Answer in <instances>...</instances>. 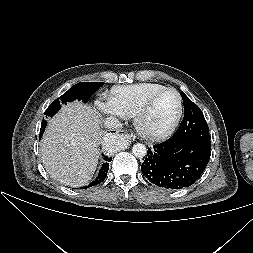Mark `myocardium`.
I'll list each match as a JSON object with an SVG mask.
<instances>
[{"label":"myocardium","mask_w":253,"mask_h":253,"mask_svg":"<svg viewBox=\"0 0 253 253\" xmlns=\"http://www.w3.org/2000/svg\"><path fill=\"white\" fill-rule=\"evenodd\" d=\"M165 92H173L176 95L177 113L173 121L165 129L159 132H148L142 126V119L144 115L147 113V111L149 110V108L151 107L152 103L155 101V99ZM182 112H183V104H182V97L180 93L175 88L165 87L159 91L152 93L147 98H145V100L142 102L141 106L138 108L137 112L135 113L133 117L134 127L142 137L149 140H160L167 137L175 130V128L177 127L181 119Z\"/></svg>","instance_id":"myocardium-1"}]
</instances>
